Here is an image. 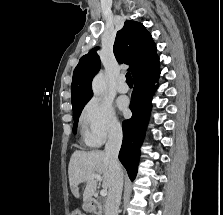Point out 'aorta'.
<instances>
[{
  "label": "aorta",
  "instance_id": "1",
  "mask_svg": "<svg viewBox=\"0 0 223 215\" xmlns=\"http://www.w3.org/2000/svg\"><path fill=\"white\" fill-rule=\"evenodd\" d=\"M92 90L94 92V96H101L107 90L106 82H105V74L103 70L95 76L92 82Z\"/></svg>",
  "mask_w": 223,
  "mask_h": 215
}]
</instances>
